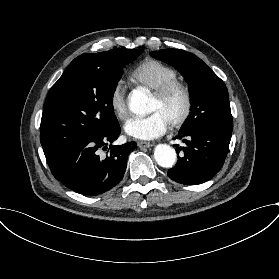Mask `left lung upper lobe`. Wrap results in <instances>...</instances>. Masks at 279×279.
<instances>
[{"label": "left lung upper lobe", "mask_w": 279, "mask_h": 279, "mask_svg": "<svg viewBox=\"0 0 279 279\" xmlns=\"http://www.w3.org/2000/svg\"><path fill=\"white\" fill-rule=\"evenodd\" d=\"M150 54L174 66L188 82L192 107L180 131L200 126L233 129L228 90L200 58L179 49H162Z\"/></svg>", "instance_id": "5c2ea615"}]
</instances>
